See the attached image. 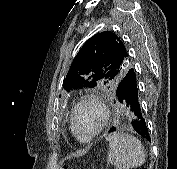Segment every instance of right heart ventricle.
<instances>
[{
	"label": "right heart ventricle",
	"mask_w": 177,
	"mask_h": 169,
	"mask_svg": "<svg viewBox=\"0 0 177 169\" xmlns=\"http://www.w3.org/2000/svg\"><path fill=\"white\" fill-rule=\"evenodd\" d=\"M72 131V130H71ZM73 133V132H72ZM73 135H74V133H73ZM75 136V135H74ZM76 137V136H75ZM77 138V137H76ZM78 139V138H77ZM79 140V139H78ZM81 141V140H80ZM81 142H83V143H86L85 141H81Z\"/></svg>",
	"instance_id": "e07e8e85"
}]
</instances>
